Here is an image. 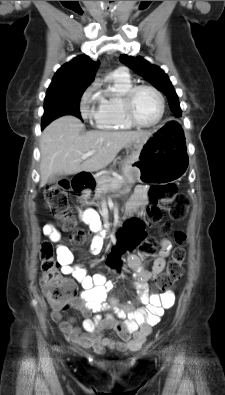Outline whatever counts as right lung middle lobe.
I'll return each mask as SVG.
<instances>
[{
    "label": "right lung middle lobe",
    "instance_id": "1",
    "mask_svg": "<svg viewBox=\"0 0 225 395\" xmlns=\"http://www.w3.org/2000/svg\"><path fill=\"white\" fill-rule=\"evenodd\" d=\"M86 87H49L44 102L41 128L43 129L51 121L63 115L71 114L82 119L80 99Z\"/></svg>",
    "mask_w": 225,
    "mask_h": 395
}]
</instances>
